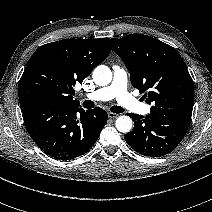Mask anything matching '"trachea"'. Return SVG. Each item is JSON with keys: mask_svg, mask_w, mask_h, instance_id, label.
I'll return each mask as SVG.
<instances>
[{"mask_svg": "<svg viewBox=\"0 0 212 212\" xmlns=\"http://www.w3.org/2000/svg\"><path fill=\"white\" fill-rule=\"evenodd\" d=\"M83 106L85 107V108H93L94 107V102H92V101H90V100H86V101H84V103H83ZM110 110L113 112V113H122V112H124V109L122 108V107H120V106H112L111 108H110Z\"/></svg>", "mask_w": 212, "mask_h": 212, "instance_id": "3493384b", "label": "trachea"}]
</instances>
